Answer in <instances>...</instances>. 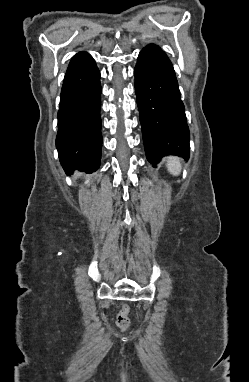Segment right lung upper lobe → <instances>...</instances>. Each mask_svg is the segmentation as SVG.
I'll list each match as a JSON object with an SVG mask.
<instances>
[{
	"label": "right lung upper lobe",
	"mask_w": 249,
	"mask_h": 382,
	"mask_svg": "<svg viewBox=\"0 0 249 382\" xmlns=\"http://www.w3.org/2000/svg\"><path fill=\"white\" fill-rule=\"evenodd\" d=\"M91 56L85 52H80L76 54L72 59L71 62L68 66L66 74L72 72L75 70L77 67L81 66L84 64Z\"/></svg>",
	"instance_id": "obj_1"
}]
</instances>
